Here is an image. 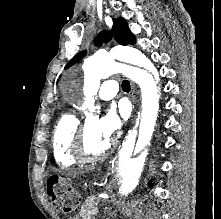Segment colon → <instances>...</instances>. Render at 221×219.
<instances>
[{"mask_svg":"<svg viewBox=\"0 0 221 219\" xmlns=\"http://www.w3.org/2000/svg\"><path fill=\"white\" fill-rule=\"evenodd\" d=\"M63 183H61L60 181H52L49 183V192H50V195L52 197H56L60 194L63 193ZM66 204L70 205V206H73L74 204V201H73V198L72 196H69L66 200ZM72 211V208H70L68 210V212H71Z\"/></svg>","mask_w":221,"mask_h":219,"instance_id":"1","label":"colon"}]
</instances>
